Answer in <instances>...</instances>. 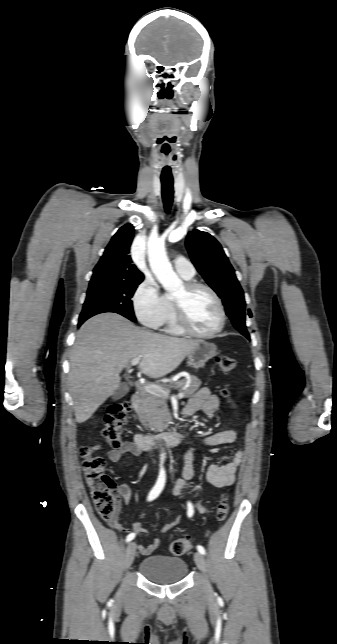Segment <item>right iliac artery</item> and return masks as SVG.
<instances>
[{"mask_svg":"<svg viewBox=\"0 0 337 644\" xmlns=\"http://www.w3.org/2000/svg\"><path fill=\"white\" fill-rule=\"evenodd\" d=\"M162 464L163 462H161V465H160V472H159L158 479L147 497L148 501H152L155 498H157L164 488L165 481H166V474ZM134 538H135V534L131 533L126 537V542H129Z\"/></svg>","mask_w":337,"mask_h":644,"instance_id":"82829eb1","label":"right iliac artery"}]
</instances>
